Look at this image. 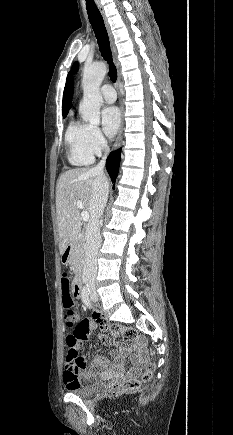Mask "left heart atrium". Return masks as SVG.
<instances>
[{"label":"left heart atrium","mask_w":233,"mask_h":435,"mask_svg":"<svg viewBox=\"0 0 233 435\" xmlns=\"http://www.w3.org/2000/svg\"><path fill=\"white\" fill-rule=\"evenodd\" d=\"M101 121L105 134L112 138L120 126V113L117 107L109 106L102 110Z\"/></svg>","instance_id":"obj_1"}]
</instances>
